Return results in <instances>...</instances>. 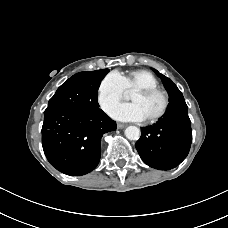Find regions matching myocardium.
<instances>
[{
  "label": "myocardium",
  "mask_w": 228,
  "mask_h": 228,
  "mask_svg": "<svg viewBox=\"0 0 228 228\" xmlns=\"http://www.w3.org/2000/svg\"><path fill=\"white\" fill-rule=\"evenodd\" d=\"M134 93H138L140 95L143 96H153V95H158L161 97L162 99V107L160 109V111L155 114L154 116L147 118V121L149 123H154L157 122L158 120H160L167 112L168 108H169V104H170V97L168 95V93L165 90H162L158 87L156 88H147V87H143V88H138L134 91Z\"/></svg>",
  "instance_id": "1"
}]
</instances>
